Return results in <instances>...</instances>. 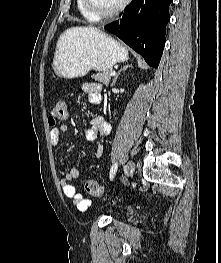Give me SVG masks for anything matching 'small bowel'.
<instances>
[{"instance_id": "c3829d8e", "label": "small bowel", "mask_w": 221, "mask_h": 263, "mask_svg": "<svg viewBox=\"0 0 221 263\" xmlns=\"http://www.w3.org/2000/svg\"><path fill=\"white\" fill-rule=\"evenodd\" d=\"M81 90L88 95L89 102L91 104H99L102 100L101 90L102 85L97 82L84 83L81 85ZM69 131L67 124H61L57 127H53L51 130V142L53 145H58L60 142L61 134H65ZM110 132V125L103 117H94L91 120L90 127L86 131V138L90 142L96 141L99 137H105ZM102 154V146L99 144L96 147V155ZM80 175L79 169L72 167L69 171L60 178V185L64 195L72 201L78 209L84 210L90 205V200L83 197L79 193L75 186L70 181L77 179Z\"/></svg>"}]
</instances>
